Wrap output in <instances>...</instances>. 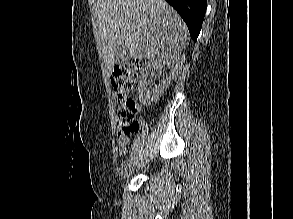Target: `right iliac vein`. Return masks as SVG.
I'll list each match as a JSON object with an SVG mask.
<instances>
[{
  "label": "right iliac vein",
  "instance_id": "1",
  "mask_svg": "<svg viewBox=\"0 0 293 219\" xmlns=\"http://www.w3.org/2000/svg\"><path fill=\"white\" fill-rule=\"evenodd\" d=\"M136 165L135 159H132L131 162L125 167L124 172H123V178L126 179L130 176L132 171L134 170Z\"/></svg>",
  "mask_w": 293,
  "mask_h": 219
}]
</instances>
